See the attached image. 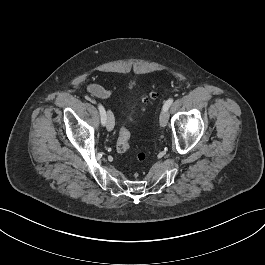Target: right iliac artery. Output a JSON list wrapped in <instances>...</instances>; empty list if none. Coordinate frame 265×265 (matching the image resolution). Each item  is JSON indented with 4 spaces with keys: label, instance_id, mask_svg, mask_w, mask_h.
I'll list each match as a JSON object with an SVG mask.
<instances>
[{
    "label": "right iliac artery",
    "instance_id": "obj_1",
    "mask_svg": "<svg viewBox=\"0 0 265 265\" xmlns=\"http://www.w3.org/2000/svg\"><path fill=\"white\" fill-rule=\"evenodd\" d=\"M98 109H99V112H100L101 123H102V125H105V123H106V112H105V109H104V107L101 104H98Z\"/></svg>",
    "mask_w": 265,
    "mask_h": 265
}]
</instances>
